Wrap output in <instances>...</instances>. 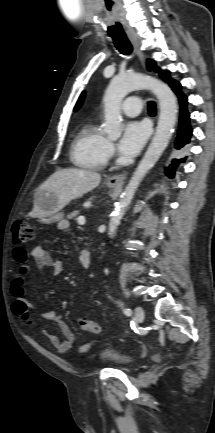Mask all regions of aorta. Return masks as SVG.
I'll return each instance as SVG.
<instances>
[{
  "label": "aorta",
  "instance_id": "762f6f07",
  "mask_svg": "<svg viewBox=\"0 0 215 433\" xmlns=\"http://www.w3.org/2000/svg\"><path fill=\"white\" fill-rule=\"evenodd\" d=\"M148 88L158 99L160 114L156 133L120 201L116 204L109 222V237L112 238L120 219L130 204L137 187L155 165L167 147L177 120L178 106L172 90L164 82L142 74L118 75L110 82L104 95V131L110 138H119L122 133L121 102L133 90Z\"/></svg>",
  "mask_w": 215,
  "mask_h": 433
}]
</instances>
